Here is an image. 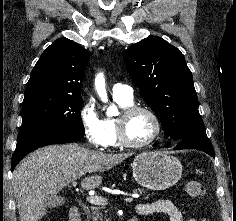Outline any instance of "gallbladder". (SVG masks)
I'll use <instances>...</instances> for the list:
<instances>
[{"label":"gallbladder","mask_w":236,"mask_h":221,"mask_svg":"<svg viewBox=\"0 0 236 221\" xmlns=\"http://www.w3.org/2000/svg\"><path fill=\"white\" fill-rule=\"evenodd\" d=\"M64 202V199L61 196L53 195L47 198L45 201V204L48 208H56L60 205H62Z\"/></svg>","instance_id":"gallbladder-1"}]
</instances>
